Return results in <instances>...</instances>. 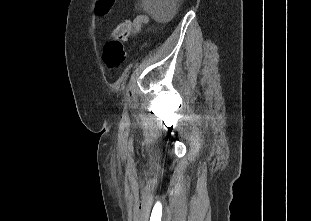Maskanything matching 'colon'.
<instances>
[{
    "label": "colon",
    "instance_id": "1",
    "mask_svg": "<svg viewBox=\"0 0 311 221\" xmlns=\"http://www.w3.org/2000/svg\"><path fill=\"white\" fill-rule=\"evenodd\" d=\"M113 0H101V2L95 3V17H101L106 19L107 9H111ZM132 29V23L129 21L121 22L115 29V34L121 36V34H130ZM124 41H112L110 40L103 49V60L105 65L112 70L118 69L125 59Z\"/></svg>",
    "mask_w": 311,
    "mask_h": 221
}]
</instances>
